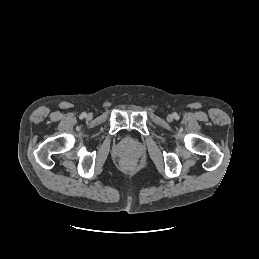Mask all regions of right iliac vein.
Here are the masks:
<instances>
[{
	"mask_svg": "<svg viewBox=\"0 0 259 259\" xmlns=\"http://www.w3.org/2000/svg\"><path fill=\"white\" fill-rule=\"evenodd\" d=\"M86 118H87V119H91V118H92V115H91V114H88V115H86Z\"/></svg>",
	"mask_w": 259,
	"mask_h": 259,
	"instance_id": "right-iliac-vein-1",
	"label": "right iliac vein"
}]
</instances>
